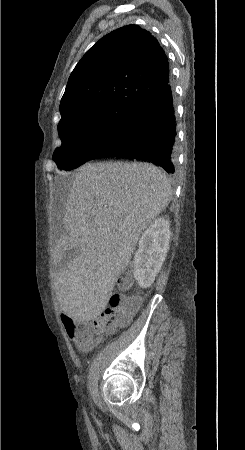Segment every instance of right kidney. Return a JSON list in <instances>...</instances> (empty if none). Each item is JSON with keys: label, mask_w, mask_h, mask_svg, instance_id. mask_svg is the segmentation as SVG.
Instances as JSON below:
<instances>
[{"label": "right kidney", "mask_w": 245, "mask_h": 450, "mask_svg": "<svg viewBox=\"0 0 245 450\" xmlns=\"http://www.w3.org/2000/svg\"><path fill=\"white\" fill-rule=\"evenodd\" d=\"M170 224L156 219L142 234L134 256V278L142 288L152 285L166 258L170 241Z\"/></svg>", "instance_id": "1"}]
</instances>
